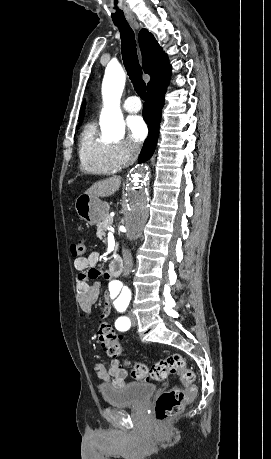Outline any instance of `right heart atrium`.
<instances>
[{"label":"right heart atrium","instance_id":"1","mask_svg":"<svg viewBox=\"0 0 271 459\" xmlns=\"http://www.w3.org/2000/svg\"><path fill=\"white\" fill-rule=\"evenodd\" d=\"M140 152V148L129 140H121L113 143V155L120 166L134 162Z\"/></svg>","mask_w":271,"mask_h":459}]
</instances>
